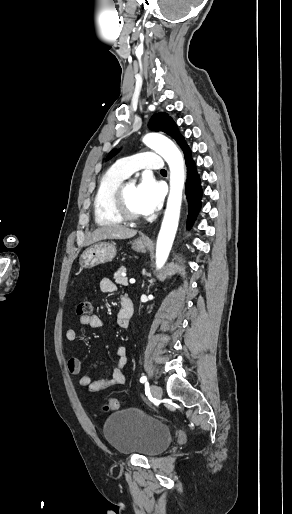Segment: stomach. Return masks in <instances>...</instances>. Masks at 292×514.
<instances>
[{
  "mask_svg": "<svg viewBox=\"0 0 292 514\" xmlns=\"http://www.w3.org/2000/svg\"><path fill=\"white\" fill-rule=\"evenodd\" d=\"M148 244L142 238H137L132 242V250L145 254ZM117 254L115 244L110 242H99L95 246H91L89 250H85L80 256L79 264L82 268H94L98 264H106L112 262Z\"/></svg>",
  "mask_w": 292,
  "mask_h": 514,
  "instance_id": "obj_1",
  "label": "stomach"
}]
</instances>
